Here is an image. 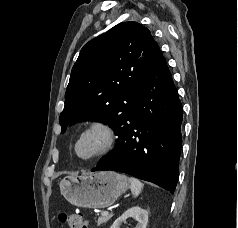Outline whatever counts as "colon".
<instances>
[{
  "instance_id": "colon-1",
  "label": "colon",
  "mask_w": 238,
  "mask_h": 228,
  "mask_svg": "<svg viewBox=\"0 0 238 228\" xmlns=\"http://www.w3.org/2000/svg\"><path fill=\"white\" fill-rule=\"evenodd\" d=\"M59 220L66 225L67 228H88L87 220L81 213H61Z\"/></svg>"
}]
</instances>
